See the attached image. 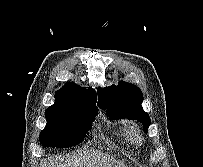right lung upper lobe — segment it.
<instances>
[{
    "label": "right lung upper lobe",
    "mask_w": 203,
    "mask_h": 167,
    "mask_svg": "<svg viewBox=\"0 0 203 167\" xmlns=\"http://www.w3.org/2000/svg\"><path fill=\"white\" fill-rule=\"evenodd\" d=\"M97 95L95 90H86L73 82L66 83L55 94V102L46 111L57 110L82 102H95Z\"/></svg>",
    "instance_id": "right-lung-upper-lobe-1"
}]
</instances>
